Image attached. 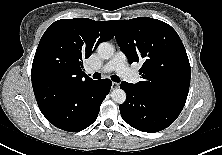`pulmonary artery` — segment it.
<instances>
[{
    "instance_id": "e3ab8cb5",
    "label": "pulmonary artery",
    "mask_w": 222,
    "mask_h": 155,
    "mask_svg": "<svg viewBox=\"0 0 222 155\" xmlns=\"http://www.w3.org/2000/svg\"><path fill=\"white\" fill-rule=\"evenodd\" d=\"M103 73L115 71L124 80L130 83H137L139 76L127 65L126 56L122 51H117L111 60H109L100 70ZM94 72L89 69V73Z\"/></svg>"
}]
</instances>
